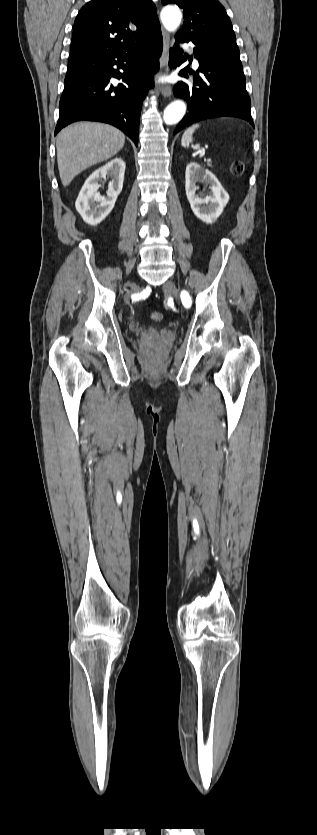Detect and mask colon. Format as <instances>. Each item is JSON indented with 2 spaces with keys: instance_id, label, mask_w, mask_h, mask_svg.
I'll use <instances>...</instances> for the list:
<instances>
[{
  "instance_id": "colon-1",
  "label": "colon",
  "mask_w": 317,
  "mask_h": 835,
  "mask_svg": "<svg viewBox=\"0 0 317 835\" xmlns=\"http://www.w3.org/2000/svg\"><path fill=\"white\" fill-rule=\"evenodd\" d=\"M244 172H245V163H244L243 160H238V161H236L232 164L231 173L235 177H241L244 174ZM162 318H163V315L159 311H153V312L150 313V319L153 322H159V321L162 320Z\"/></svg>"
}]
</instances>
